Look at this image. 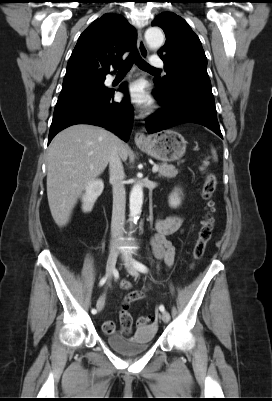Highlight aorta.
Segmentation results:
<instances>
[{"label":"aorta","mask_w":272,"mask_h":401,"mask_svg":"<svg viewBox=\"0 0 272 401\" xmlns=\"http://www.w3.org/2000/svg\"><path fill=\"white\" fill-rule=\"evenodd\" d=\"M145 40L148 46L156 49L162 46L164 35L160 28L150 27L145 32ZM143 204V189L140 185H134L129 197L130 217L134 220L139 218Z\"/></svg>","instance_id":"obj_1"}]
</instances>
